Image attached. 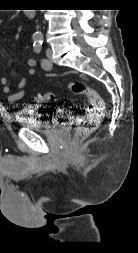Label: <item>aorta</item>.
<instances>
[{
	"label": "aorta",
	"instance_id": "1",
	"mask_svg": "<svg viewBox=\"0 0 138 253\" xmlns=\"http://www.w3.org/2000/svg\"><path fill=\"white\" fill-rule=\"evenodd\" d=\"M35 36H36V37H40V36H41V33H40V32H37V33L35 34Z\"/></svg>",
	"mask_w": 138,
	"mask_h": 253
}]
</instances>
